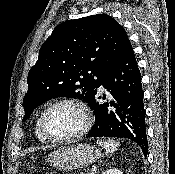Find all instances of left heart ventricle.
<instances>
[{"label": "left heart ventricle", "instance_id": "1", "mask_svg": "<svg viewBox=\"0 0 175 174\" xmlns=\"http://www.w3.org/2000/svg\"><path fill=\"white\" fill-rule=\"evenodd\" d=\"M83 125L80 111L72 105L53 108L45 119L46 130L52 137L63 138L76 133Z\"/></svg>", "mask_w": 175, "mask_h": 174}]
</instances>
